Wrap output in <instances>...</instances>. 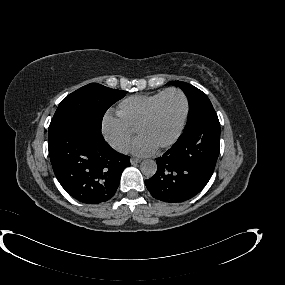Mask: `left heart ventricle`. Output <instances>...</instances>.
Returning <instances> with one entry per match:
<instances>
[{
    "mask_svg": "<svg viewBox=\"0 0 285 285\" xmlns=\"http://www.w3.org/2000/svg\"><path fill=\"white\" fill-rule=\"evenodd\" d=\"M185 109L182 96L170 93L161 101L157 111L148 125L140 132L154 147H159L172 139L178 130Z\"/></svg>",
    "mask_w": 285,
    "mask_h": 285,
    "instance_id": "b2bd125f",
    "label": "left heart ventricle"
}]
</instances>
